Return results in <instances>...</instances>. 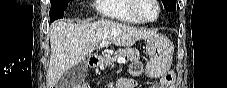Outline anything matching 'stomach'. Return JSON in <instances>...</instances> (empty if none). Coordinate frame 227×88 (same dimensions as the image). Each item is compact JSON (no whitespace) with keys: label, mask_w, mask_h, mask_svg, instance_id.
Instances as JSON below:
<instances>
[{"label":"stomach","mask_w":227,"mask_h":88,"mask_svg":"<svg viewBox=\"0 0 227 88\" xmlns=\"http://www.w3.org/2000/svg\"><path fill=\"white\" fill-rule=\"evenodd\" d=\"M173 51L172 42L164 35L156 34L149 37L146 52L151 58L145 68L146 75L152 78L163 76L170 68Z\"/></svg>","instance_id":"1"}]
</instances>
